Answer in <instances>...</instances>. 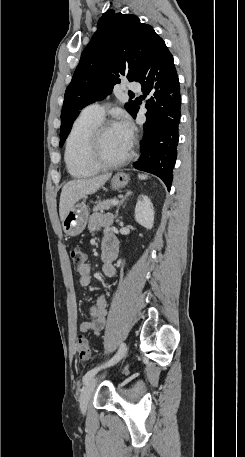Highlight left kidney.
<instances>
[{
	"mask_svg": "<svg viewBox=\"0 0 245 457\" xmlns=\"http://www.w3.org/2000/svg\"><path fill=\"white\" fill-rule=\"evenodd\" d=\"M153 204L147 194H139L135 206V220L145 226V229H152L154 222Z\"/></svg>",
	"mask_w": 245,
	"mask_h": 457,
	"instance_id": "5707ae66",
	"label": "left kidney"
}]
</instances>
